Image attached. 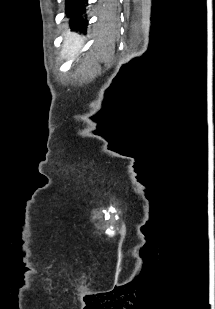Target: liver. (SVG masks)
I'll use <instances>...</instances> for the list:
<instances>
[{
	"mask_svg": "<svg viewBox=\"0 0 215 309\" xmlns=\"http://www.w3.org/2000/svg\"><path fill=\"white\" fill-rule=\"evenodd\" d=\"M82 44L83 40L80 34L67 30L65 34L64 48L62 52H67L68 56H74V54H77L78 50L82 48Z\"/></svg>",
	"mask_w": 215,
	"mask_h": 309,
	"instance_id": "obj_1",
	"label": "liver"
}]
</instances>
